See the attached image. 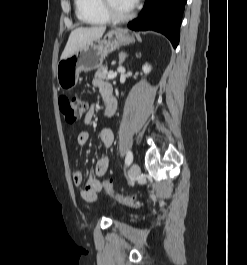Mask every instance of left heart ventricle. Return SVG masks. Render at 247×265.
<instances>
[{
	"instance_id": "obj_1",
	"label": "left heart ventricle",
	"mask_w": 247,
	"mask_h": 265,
	"mask_svg": "<svg viewBox=\"0 0 247 265\" xmlns=\"http://www.w3.org/2000/svg\"><path fill=\"white\" fill-rule=\"evenodd\" d=\"M108 1L110 5L115 9V11L120 14H125L129 12L132 8L123 0H108Z\"/></svg>"
}]
</instances>
